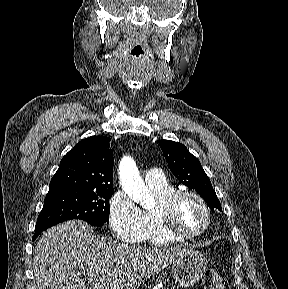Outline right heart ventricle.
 <instances>
[{
	"mask_svg": "<svg viewBox=\"0 0 288 289\" xmlns=\"http://www.w3.org/2000/svg\"><path fill=\"white\" fill-rule=\"evenodd\" d=\"M149 188L158 200L175 190L168 182L162 186H149ZM143 213L146 229L141 242L153 245H169L180 241L162 229L157 217L156 207L147 209Z\"/></svg>",
	"mask_w": 288,
	"mask_h": 289,
	"instance_id": "e07e8e85",
	"label": "right heart ventricle"
}]
</instances>
